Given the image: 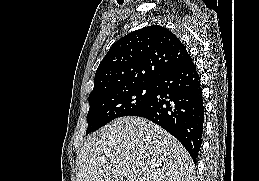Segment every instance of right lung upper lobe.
<instances>
[{"label":"right lung upper lobe","mask_w":259,"mask_h":181,"mask_svg":"<svg viewBox=\"0 0 259 181\" xmlns=\"http://www.w3.org/2000/svg\"><path fill=\"white\" fill-rule=\"evenodd\" d=\"M189 56L169 29L148 26L115 42L101 61L89 96L114 88L150 84Z\"/></svg>","instance_id":"obj_1"}]
</instances>
